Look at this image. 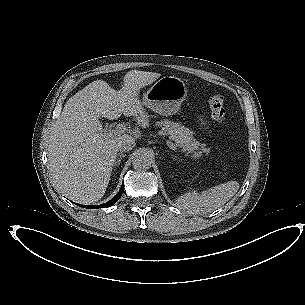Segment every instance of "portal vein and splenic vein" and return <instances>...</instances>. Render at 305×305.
I'll return each mask as SVG.
<instances>
[{"label": "portal vein and splenic vein", "instance_id": "18ae733b", "mask_svg": "<svg viewBox=\"0 0 305 305\" xmlns=\"http://www.w3.org/2000/svg\"><path fill=\"white\" fill-rule=\"evenodd\" d=\"M122 129H125V126L122 125V124H118L117 127H116L115 129H113V130H110V131L108 132V134H109L110 136H112V135H117L118 133H120V131H122ZM169 147H170V149H172V150L175 151V152L178 151L177 147H176L173 143H170Z\"/></svg>", "mask_w": 305, "mask_h": 305}]
</instances>
